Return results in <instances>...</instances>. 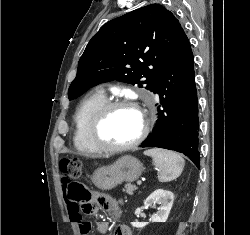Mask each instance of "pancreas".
I'll return each instance as SVG.
<instances>
[{"mask_svg": "<svg viewBox=\"0 0 250 235\" xmlns=\"http://www.w3.org/2000/svg\"><path fill=\"white\" fill-rule=\"evenodd\" d=\"M137 189V187L135 185L132 184H128L125 186V189H123V191H125L126 193H128L129 195H133V192Z\"/></svg>", "mask_w": 250, "mask_h": 235, "instance_id": "obj_1", "label": "pancreas"}]
</instances>
